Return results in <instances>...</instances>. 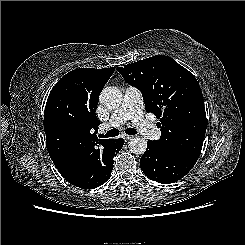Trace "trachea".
Instances as JSON below:
<instances>
[{
    "label": "trachea",
    "mask_w": 245,
    "mask_h": 245,
    "mask_svg": "<svg viewBox=\"0 0 245 245\" xmlns=\"http://www.w3.org/2000/svg\"><path fill=\"white\" fill-rule=\"evenodd\" d=\"M125 133L128 135H134V134H137V131L134 128H127L125 130ZM118 135H119V131L117 129H112V130H109L105 135L99 134L98 136L100 138H110V137H115Z\"/></svg>",
    "instance_id": "1"
}]
</instances>
